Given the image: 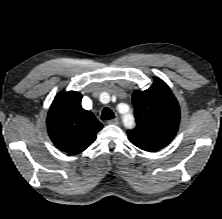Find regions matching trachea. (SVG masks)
<instances>
[{"label":"trachea","mask_w":222,"mask_h":219,"mask_svg":"<svg viewBox=\"0 0 222 219\" xmlns=\"http://www.w3.org/2000/svg\"><path fill=\"white\" fill-rule=\"evenodd\" d=\"M114 117H115L114 113L112 112L111 109H109V108L103 109L102 115H101L102 120H110V119H113Z\"/></svg>","instance_id":"trachea-1"}]
</instances>
